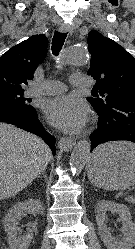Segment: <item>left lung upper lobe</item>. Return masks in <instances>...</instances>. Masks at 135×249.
<instances>
[{"mask_svg": "<svg viewBox=\"0 0 135 249\" xmlns=\"http://www.w3.org/2000/svg\"><path fill=\"white\" fill-rule=\"evenodd\" d=\"M88 51V75L96 80V85L94 97L87 100L94 109L103 111L115 103H135V58L96 30L88 34Z\"/></svg>", "mask_w": 135, "mask_h": 249, "instance_id": "5c2ea615", "label": "left lung upper lobe"}]
</instances>
